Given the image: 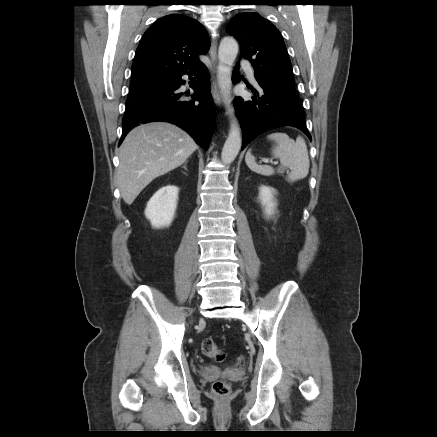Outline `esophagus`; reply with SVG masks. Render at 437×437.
Wrapping results in <instances>:
<instances>
[{"mask_svg":"<svg viewBox=\"0 0 437 437\" xmlns=\"http://www.w3.org/2000/svg\"><path fill=\"white\" fill-rule=\"evenodd\" d=\"M210 59H211V74H212V84H211V93L213 99L217 105L221 104V94L217 85V81L215 78L216 65L218 61L217 57V42L216 39H212L211 47H210Z\"/></svg>","mask_w":437,"mask_h":437,"instance_id":"esophagus-1","label":"esophagus"}]
</instances>
